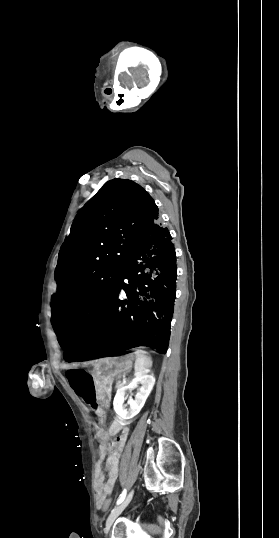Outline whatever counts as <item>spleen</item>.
<instances>
[{
	"mask_svg": "<svg viewBox=\"0 0 279 538\" xmlns=\"http://www.w3.org/2000/svg\"><path fill=\"white\" fill-rule=\"evenodd\" d=\"M133 354H135L136 358L135 370H137V372H145V370L152 368L153 362L148 352H144V350H135Z\"/></svg>",
	"mask_w": 279,
	"mask_h": 538,
	"instance_id": "obj_1",
	"label": "spleen"
}]
</instances>
